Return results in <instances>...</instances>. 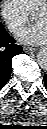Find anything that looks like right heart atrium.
<instances>
[{"mask_svg":"<svg viewBox=\"0 0 47 129\" xmlns=\"http://www.w3.org/2000/svg\"><path fill=\"white\" fill-rule=\"evenodd\" d=\"M0 11L8 28L13 32L22 27L30 17V12L21 0H2Z\"/></svg>","mask_w":47,"mask_h":129,"instance_id":"1","label":"right heart atrium"}]
</instances>
